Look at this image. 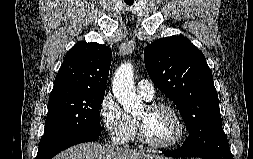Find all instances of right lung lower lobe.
<instances>
[{"instance_id":"obj_1","label":"right lung lower lobe","mask_w":253,"mask_h":159,"mask_svg":"<svg viewBox=\"0 0 253 159\" xmlns=\"http://www.w3.org/2000/svg\"><path fill=\"white\" fill-rule=\"evenodd\" d=\"M100 135V132H79L73 134L71 136L65 137L52 146H50L47 150L42 153H37L36 159H51L57 153L65 150L66 148L83 143V142H90L97 139Z\"/></svg>"}]
</instances>
